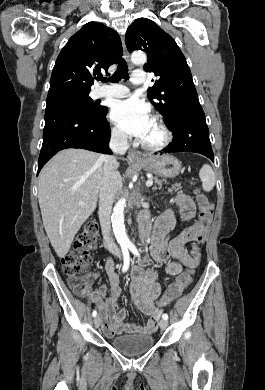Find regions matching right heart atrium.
I'll return each mask as SVG.
<instances>
[{
	"label": "right heart atrium",
	"instance_id": "1",
	"mask_svg": "<svg viewBox=\"0 0 265 390\" xmlns=\"http://www.w3.org/2000/svg\"><path fill=\"white\" fill-rule=\"evenodd\" d=\"M112 139L118 144H126L127 136L119 128L113 127L111 130Z\"/></svg>",
	"mask_w": 265,
	"mask_h": 390
}]
</instances>
